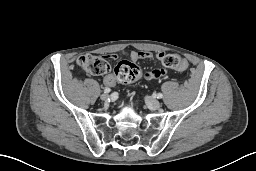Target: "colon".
I'll list each match as a JSON object with an SVG mask.
<instances>
[{
	"mask_svg": "<svg viewBox=\"0 0 256 171\" xmlns=\"http://www.w3.org/2000/svg\"><path fill=\"white\" fill-rule=\"evenodd\" d=\"M78 65L87 73L92 75H103L110 71V65L104 57L85 54L81 55ZM162 64L171 69L179 70L184 67V60L175 54H167L162 60ZM117 78L122 82H133L142 77V69L135 63L130 61H121L115 67Z\"/></svg>",
	"mask_w": 256,
	"mask_h": 171,
	"instance_id": "colon-1",
	"label": "colon"
}]
</instances>
